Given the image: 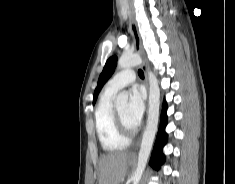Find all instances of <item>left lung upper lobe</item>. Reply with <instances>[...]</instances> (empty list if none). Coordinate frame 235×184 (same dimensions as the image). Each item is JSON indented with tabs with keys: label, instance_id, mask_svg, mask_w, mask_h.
Returning a JSON list of instances; mask_svg holds the SVG:
<instances>
[{
	"label": "left lung upper lobe",
	"instance_id": "5c2ea615",
	"mask_svg": "<svg viewBox=\"0 0 235 184\" xmlns=\"http://www.w3.org/2000/svg\"><path fill=\"white\" fill-rule=\"evenodd\" d=\"M116 64H117V57L116 56H112L110 57L104 68H103V71L102 73L100 74L99 76V79H98V85L94 91V99H93V104L95 103L96 99H97V96L101 90V88L103 87V85L106 83V81L111 77V75L113 74L114 70H115V67H116Z\"/></svg>",
	"mask_w": 235,
	"mask_h": 184
}]
</instances>
